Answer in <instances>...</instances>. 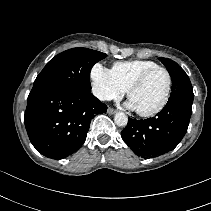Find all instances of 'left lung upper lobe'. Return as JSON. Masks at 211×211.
<instances>
[{
  "mask_svg": "<svg viewBox=\"0 0 211 211\" xmlns=\"http://www.w3.org/2000/svg\"><path fill=\"white\" fill-rule=\"evenodd\" d=\"M159 59L165 65L172 78V92L169 100L185 99L193 101V88L185 71L171 59L162 57Z\"/></svg>",
  "mask_w": 211,
  "mask_h": 211,
  "instance_id": "5c2ea615",
  "label": "left lung upper lobe"
}]
</instances>
